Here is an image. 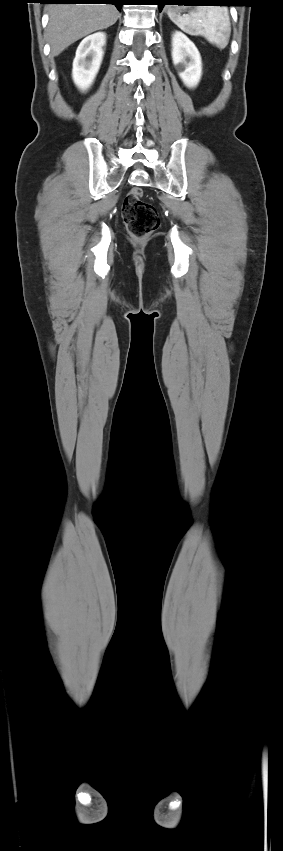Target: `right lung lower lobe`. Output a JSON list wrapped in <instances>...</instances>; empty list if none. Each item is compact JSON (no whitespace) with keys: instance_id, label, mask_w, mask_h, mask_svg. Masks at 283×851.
<instances>
[{"instance_id":"98d812e1","label":"right lung lower lobe","mask_w":283,"mask_h":851,"mask_svg":"<svg viewBox=\"0 0 283 851\" xmlns=\"http://www.w3.org/2000/svg\"><path fill=\"white\" fill-rule=\"evenodd\" d=\"M125 0H46V4H112L117 7L118 10L121 9Z\"/></svg>"}]
</instances>
